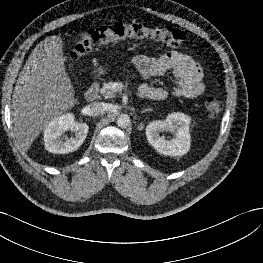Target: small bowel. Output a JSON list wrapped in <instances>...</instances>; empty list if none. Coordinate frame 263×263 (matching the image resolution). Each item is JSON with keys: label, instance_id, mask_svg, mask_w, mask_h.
I'll use <instances>...</instances> for the list:
<instances>
[{"label": "small bowel", "instance_id": "small-bowel-1", "mask_svg": "<svg viewBox=\"0 0 263 263\" xmlns=\"http://www.w3.org/2000/svg\"><path fill=\"white\" fill-rule=\"evenodd\" d=\"M132 63L146 81L171 72L176 85L171 94L175 97L196 98L204 91L200 66L191 57L178 51H169L159 58L136 55ZM139 93L153 100H163L170 95L163 88L148 83L140 86Z\"/></svg>", "mask_w": 263, "mask_h": 263}]
</instances>
